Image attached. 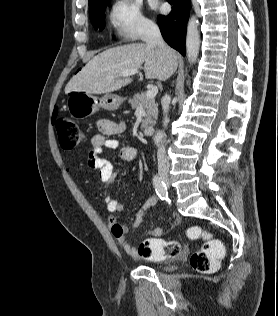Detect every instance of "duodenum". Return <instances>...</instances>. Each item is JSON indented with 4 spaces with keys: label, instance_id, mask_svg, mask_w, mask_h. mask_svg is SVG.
I'll use <instances>...</instances> for the list:
<instances>
[{
    "label": "duodenum",
    "instance_id": "410a0bca",
    "mask_svg": "<svg viewBox=\"0 0 278 316\" xmlns=\"http://www.w3.org/2000/svg\"><path fill=\"white\" fill-rule=\"evenodd\" d=\"M144 134L147 136H150L154 133V127L153 126H147L144 128Z\"/></svg>",
    "mask_w": 278,
    "mask_h": 316
}]
</instances>
